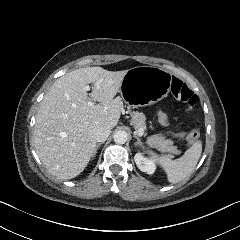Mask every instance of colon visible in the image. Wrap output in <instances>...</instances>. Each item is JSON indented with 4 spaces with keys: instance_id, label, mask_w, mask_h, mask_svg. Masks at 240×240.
<instances>
[{
    "instance_id": "colon-1",
    "label": "colon",
    "mask_w": 240,
    "mask_h": 240,
    "mask_svg": "<svg viewBox=\"0 0 240 240\" xmlns=\"http://www.w3.org/2000/svg\"><path fill=\"white\" fill-rule=\"evenodd\" d=\"M176 96L183 102H187L190 108H195L197 106V95L187 86L182 85L176 90ZM158 122L162 124H167V113H163V110H158ZM198 138V130L194 129L193 134L186 137V145L190 146L195 143V139Z\"/></svg>"
}]
</instances>
